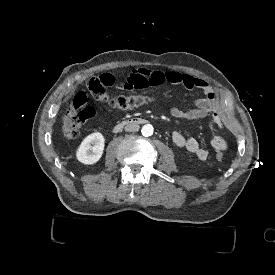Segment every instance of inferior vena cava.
<instances>
[{"label":"inferior vena cava","mask_w":275,"mask_h":275,"mask_svg":"<svg viewBox=\"0 0 275 275\" xmlns=\"http://www.w3.org/2000/svg\"><path fill=\"white\" fill-rule=\"evenodd\" d=\"M140 126L136 123H129L125 126V131L127 132H136L138 131Z\"/></svg>","instance_id":"obj_1"}]
</instances>
